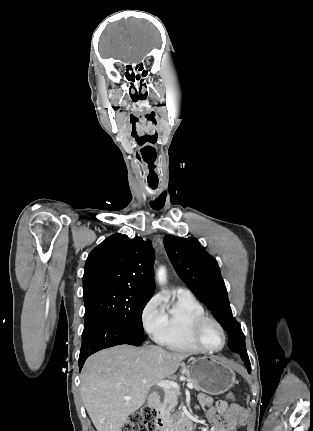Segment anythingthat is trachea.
<instances>
[{
  "mask_svg": "<svg viewBox=\"0 0 313 431\" xmlns=\"http://www.w3.org/2000/svg\"><path fill=\"white\" fill-rule=\"evenodd\" d=\"M151 188L155 189V188H156V185H151Z\"/></svg>",
  "mask_w": 313,
  "mask_h": 431,
  "instance_id": "1",
  "label": "trachea"
}]
</instances>
